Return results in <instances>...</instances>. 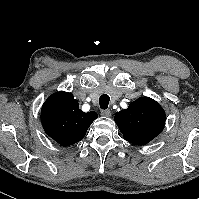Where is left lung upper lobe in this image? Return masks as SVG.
I'll return each instance as SVG.
<instances>
[{
    "instance_id": "5c2ea615",
    "label": "left lung upper lobe",
    "mask_w": 199,
    "mask_h": 199,
    "mask_svg": "<svg viewBox=\"0 0 199 199\" xmlns=\"http://www.w3.org/2000/svg\"><path fill=\"white\" fill-rule=\"evenodd\" d=\"M114 119L127 141L144 145L163 130L166 114L155 100L141 97L131 102L127 109L117 112Z\"/></svg>"
}]
</instances>
